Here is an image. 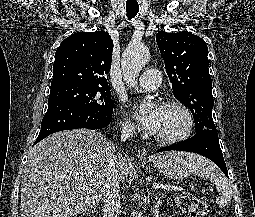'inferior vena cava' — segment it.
Returning a JSON list of instances; mask_svg holds the SVG:
<instances>
[{"instance_id": "inferior-vena-cava-1", "label": "inferior vena cava", "mask_w": 255, "mask_h": 217, "mask_svg": "<svg viewBox=\"0 0 255 217\" xmlns=\"http://www.w3.org/2000/svg\"><path fill=\"white\" fill-rule=\"evenodd\" d=\"M132 136L133 130L124 128L121 133V141L125 142ZM115 152V147L112 145L110 147L111 154L104 183L103 217H118L120 213L118 156Z\"/></svg>"}]
</instances>
